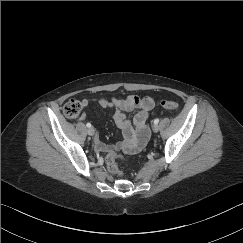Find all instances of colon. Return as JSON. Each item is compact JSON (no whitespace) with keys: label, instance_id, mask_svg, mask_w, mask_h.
<instances>
[{"label":"colon","instance_id":"colon-1","mask_svg":"<svg viewBox=\"0 0 243 243\" xmlns=\"http://www.w3.org/2000/svg\"><path fill=\"white\" fill-rule=\"evenodd\" d=\"M161 106L167 110H177L179 104L173 100H163ZM82 110V105L78 100H69L63 106V114L68 118H76ZM121 157V153H110L106 158L108 169L112 173H121L116 160Z\"/></svg>","mask_w":243,"mask_h":243}]
</instances>
